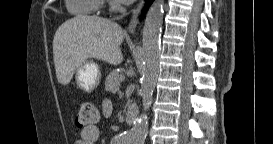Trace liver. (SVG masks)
Here are the masks:
<instances>
[{"label":"liver","mask_w":273,"mask_h":144,"mask_svg":"<svg viewBox=\"0 0 273 144\" xmlns=\"http://www.w3.org/2000/svg\"><path fill=\"white\" fill-rule=\"evenodd\" d=\"M124 32L115 22L79 15L65 21L53 39V57L57 80L70 83L75 70L87 59L95 58L111 65L123 61L120 44Z\"/></svg>","instance_id":"obj_1"}]
</instances>
